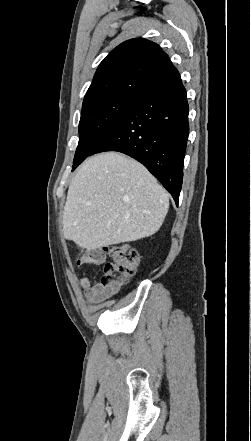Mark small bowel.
Here are the masks:
<instances>
[{
  "label": "small bowel",
  "mask_w": 251,
  "mask_h": 441,
  "mask_svg": "<svg viewBox=\"0 0 251 441\" xmlns=\"http://www.w3.org/2000/svg\"><path fill=\"white\" fill-rule=\"evenodd\" d=\"M105 262V255L99 250H80L74 259L73 266L83 272L82 277L78 280V285L84 293L85 298L90 302H101L119 290V287L105 286L102 283L92 284L89 277L84 272V268L88 264L100 265Z\"/></svg>",
  "instance_id": "1"
}]
</instances>
